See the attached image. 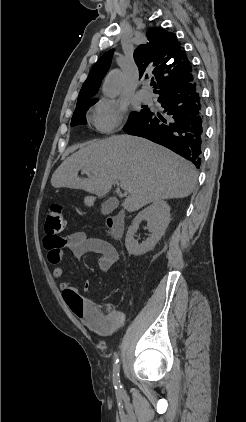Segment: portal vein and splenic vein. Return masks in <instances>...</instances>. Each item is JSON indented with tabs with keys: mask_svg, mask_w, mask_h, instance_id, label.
Returning a JSON list of instances; mask_svg holds the SVG:
<instances>
[{
	"mask_svg": "<svg viewBox=\"0 0 246 422\" xmlns=\"http://www.w3.org/2000/svg\"><path fill=\"white\" fill-rule=\"evenodd\" d=\"M116 183L121 187V188H123V189H125L126 188V186H125V184L124 183H122V182H118V181H116Z\"/></svg>",
	"mask_w": 246,
	"mask_h": 422,
	"instance_id": "18ae733b",
	"label": "portal vein and splenic vein"
}]
</instances>
